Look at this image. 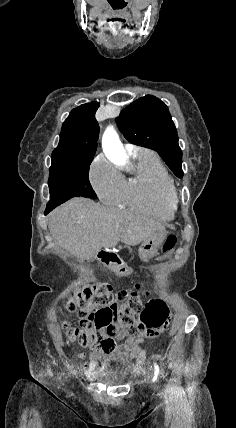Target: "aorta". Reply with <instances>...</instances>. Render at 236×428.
Segmentation results:
<instances>
[{
    "mask_svg": "<svg viewBox=\"0 0 236 428\" xmlns=\"http://www.w3.org/2000/svg\"><path fill=\"white\" fill-rule=\"evenodd\" d=\"M104 152L118 162H125V152L119 136L113 126H109L103 134Z\"/></svg>",
    "mask_w": 236,
    "mask_h": 428,
    "instance_id": "762f6f07",
    "label": "aorta"
}]
</instances>
